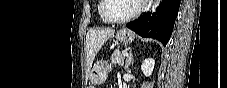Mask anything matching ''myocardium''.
<instances>
[{
  "label": "myocardium",
  "mask_w": 227,
  "mask_h": 88,
  "mask_svg": "<svg viewBox=\"0 0 227 88\" xmlns=\"http://www.w3.org/2000/svg\"><path fill=\"white\" fill-rule=\"evenodd\" d=\"M106 2H107V0H101L99 13H100V16L103 19V21L110 23V24H125V23L133 20L135 17L138 16V14L141 12L142 7H143L142 1H138L136 9L129 16L122 18V19H109L106 17V15L104 13V8L106 6Z\"/></svg>",
  "instance_id": "1"
}]
</instances>
